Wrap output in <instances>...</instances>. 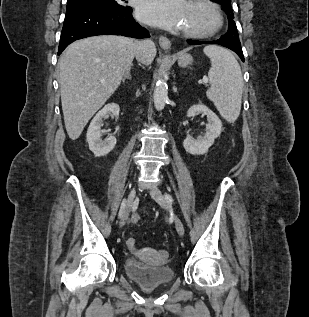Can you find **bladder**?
<instances>
[{"instance_id":"bladder-1","label":"bladder","mask_w":309,"mask_h":317,"mask_svg":"<svg viewBox=\"0 0 309 317\" xmlns=\"http://www.w3.org/2000/svg\"><path fill=\"white\" fill-rule=\"evenodd\" d=\"M123 266L125 274L144 289H155L174 279V271L169 265H153L135 257H127Z\"/></svg>"}]
</instances>
